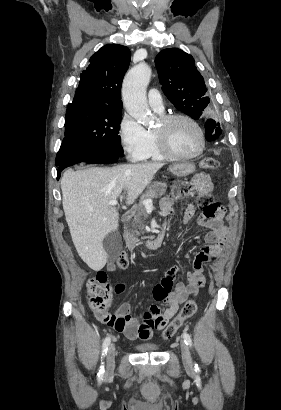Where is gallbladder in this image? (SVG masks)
Returning <instances> with one entry per match:
<instances>
[{
  "instance_id": "obj_1",
  "label": "gallbladder",
  "mask_w": 281,
  "mask_h": 410,
  "mask_svg": "<svg viewBox=\"0 0 281 410\" xmlns=\"http://www.w3.org/2000/svg\"><path fill=\"white\" fill-rule=\"evenodd\" d=\"M108 262H114L122 249V242L117 232L109 233L103 240Z\"/></svg>"
}]
</instances>
